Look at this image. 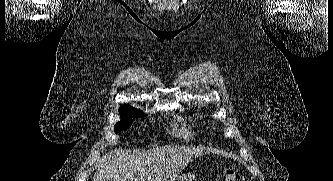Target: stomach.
I'll list each match as a JSON object with an SVG mask.
<instances>
[{"label":"stomach","instance_id":"stomach-1","mask_svg":"<svg viewBox=\"0 0 333 181\" xmlns=\"http://www.w3.org/2000/svg\"><path fill=\"white\" fill-rule=\"evenodd\" d=\"M176 181H197L195 174L191 172L182 173L177 177Z\"/></svg>","mask_w":333,"mask_h":181}]
</instances>
